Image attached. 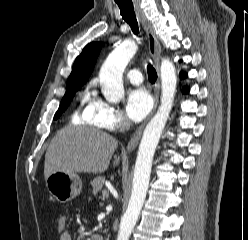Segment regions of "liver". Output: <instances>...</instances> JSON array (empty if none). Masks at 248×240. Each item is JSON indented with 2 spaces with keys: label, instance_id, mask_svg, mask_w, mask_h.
Returning a JSON list of instances; mask_svg holds the SVG:
<instances>
[{
  "label": "liver",
  "instance_id": "liver-1",
  "mask_svg": "<svg viewBox=\"0 0 248 240\" xmlns=\"http://www.w3.org/2000/svg\"><path fill=\"white\" fill-rule=\"evenodd\" d=\"M118 141L94 128L67 126L52 139L45 155L44 177L66 173H103L107 170ZM116 157L113 166H117Z\"/></svg>",
  "mask_w": 248,
  "mask_h": 240
}]
</instances>
